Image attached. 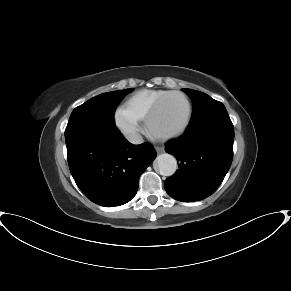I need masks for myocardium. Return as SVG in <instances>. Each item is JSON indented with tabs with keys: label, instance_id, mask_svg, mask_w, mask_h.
<instances>
[{
	"label": "myocardium",
	"instance_id": "myocardium-1",
	"mask_svg": "<svg viewBox=\"0 0 291 291\" xmlns=\"http://www.w3.org/2000/svg\"><path fill=\"white\" fill-rule=\"evenodd\" d=\"M173 95H178V96H181L184 98L186 105H187L186 121L177 130H174V131H171L168 133L157 132L153 128V120H154L157 112L159 111L160 107L162 106L163 102L168 97L173 96ZM192 117H193V107H192V103H191L189 97L181 91H169L168 93H166L165 95L160 97L156 101V103L153 105V107L150 109V111L148 112V114L146 115V118H145V126H146V130H147L148 135L151 136L152 138L159 139V140H167V139H171V138H174V137H177V136H180L181 134H183L187 130L189 125L191 124Z\"/></svg>",
	"mask_w": 291,
	"mask_h": 291
}]
</instances>
